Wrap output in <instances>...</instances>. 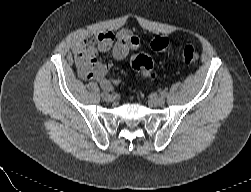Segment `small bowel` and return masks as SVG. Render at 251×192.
Wrapping results in <instances>:
<instances>
[{
  "label": "small bowel",
  "instance_id": "small-bowel-1",
  "mask_svg": "<svg viewBox=\"0 0 251 192\" xmlns=\"http://www.w3.org/2000/svg\"><path fill=\"white\" fill-rule=\"evenodd\" d=\"M140 41L127 30L120 31L117 35L110 31L87 36L76 47V66L79 76L84 80H95L105 90H110L119 80L107 77L110 65L97 60V52L112 50L113 56L122 60L131 50L139 47Z\"/></svg>",
  "mask_w": 251,
  "mask_h": 192
}]
</instances>
